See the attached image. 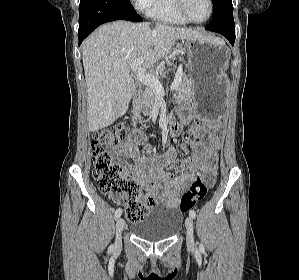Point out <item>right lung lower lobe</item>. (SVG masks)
<instances>
[{"label": "right lung lower lobe", "instance_id": "1", "mask_svg": "<svg viewBox=\"0 0 299 280\" xmlns=\"http://www.w3.org/2000/svg\"><path fill=\"white\" fill-rule=\"evenodd\" d=\"M141 22L143 19L123 0H81L79 5V45L99 25L114 21Z\"/></svg>", "mask_w": 299, "mask_h": 280}]
</instances>
